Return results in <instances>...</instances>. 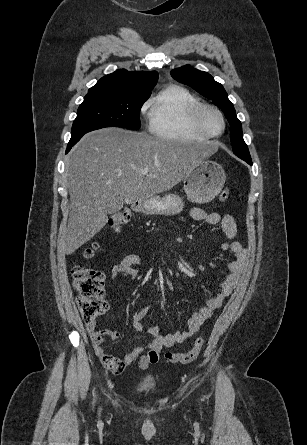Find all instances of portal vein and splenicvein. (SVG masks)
<instances>
[{
    "instance_id": "1",
    "label": "portal vein and splenic vein",
    "mask_w": 307,
    "mask_h": 445,
    "mask_svg": "<svg viewBox=\"0 0 307 445\" xmlns=\"http://www.w3.org/2000/svg\"><path fill=\"white\" fill-rule=\"evenodd\" d=\"M140 172H142V174H148L149 168H140Z\"/></svg>"
}]
</instances>
